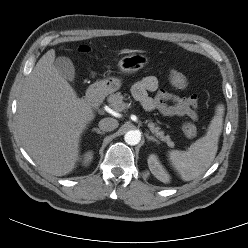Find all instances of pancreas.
Returning <instances> with one entry per match:
<instances>
[{"instance_id":"1","label":"pancreas","mask_w":248,"mask_h":248,"mask_svg":"<svg viewBox=\"0 0 248 248\" xmlns=\"http://www.w3.org/2000/svg\"><path fill=\"white\" fill-rule=\"evenodd\" d=\"M125 97L121 94V92H117L115 94H111L108 97V103L111 108H113L116 111H122L125 108V103L123 102V99ZM148 127L150 131L155 134L156 137H158L160 140L166 142L168 146H173V142L170 139L169 135H165L163 131L160 130L159 126H156L155 123L152 121H149Z\"/></svg>"}]
</instances>
